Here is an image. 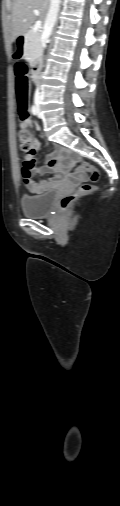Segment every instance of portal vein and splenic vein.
I'll list each match as a JSON object with an SVG mask.
<instances>
[{"label":"portal vein and splenic vein","mask_w":120,"mask_h":506,"mask_svg":"<svg viewBox=\"0 0 120 506\" xmlns=\"http://www.w3.org/2000/svg\"><path fill=\"white\" fill-rule=\"evenodd\" d=\"M34 14H35V15H39V10L35 9V10H34ZM41 26H42V22H41V21H37V22L34 24L32 31H33V32H38V31L41 29Z\"/></svg>","instance_id":"18ae733b"}]
</instances>
